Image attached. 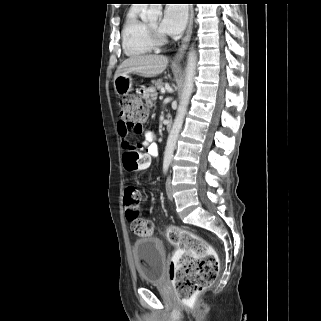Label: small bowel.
I'll return each instance as SVG.
<instances>
[{
	"mask_svg": "<svg viewBox=\"0 0 321 321\" xmlns=\"http://www.w3.org/2000/svg\"><path fill=\"white\" fill-rule=\"evenodd\" d=\"M135 92L136 94H139L141 97H144L147 102H151L152 96L150 95L149 91H144L143 85H140V87H136ZM117 129L121 141V147L124 152V157L132 151H139L141 149H145L146 153L144 155H146L149 158V161L151 157L157 155L158 150L157 145L155 144L156 134L154 131L146 130L144 132L143 142L138 146H133L128 140L130 129L126 126V124L122 121L119 122L117 125Z\"/></svg>",
	"mask_w": 321,
	"mask_h": 321,
	"instance_id": "small-bowel-1",
	"label": "small bowel"
}]
</instances>
